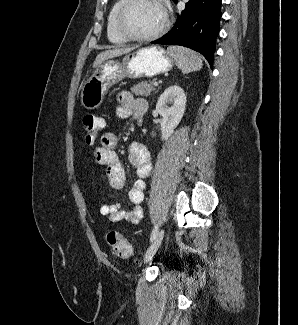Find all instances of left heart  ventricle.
<instances>
[{"label":"left heart ventricle","mask_w":298,"mask_h":325,"mask_svg":"<svg viewBox=\"0 0 298 325\" xmlns=\"http://www.w3.org/2000/svg\"><path fill=\"white\" fill-rule=\"evenodd\" d=\"M163 19V13L155 3L141 0L128 9L123 25L132 35L144 37L155 32L162 25Z\"/></svg>","instance_id":"left-heart-ventricle-1"}]
</instances>
